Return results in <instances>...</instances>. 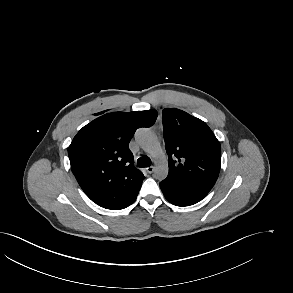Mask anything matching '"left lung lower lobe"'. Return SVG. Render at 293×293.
Here are the masks:
<instances>
[{"mask_svg": "<svg viewBox=\"0 0 293 293\" xmlns=\"http://www.w3.org/2000/svg\"><path fill=\"white\" fill-rule=\"evenodd\" d=\"M160 188L166 199L177 206H189L202 200L209 191H197L195 189L169 183L160 182Z\"/></svg>", "mask_w": 293, "mask_h": 293, "instance_id": "0a47b994", "label": "left lung lower lobe"}]
</instances>
